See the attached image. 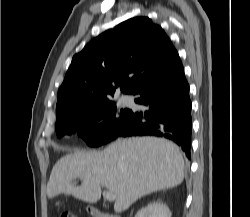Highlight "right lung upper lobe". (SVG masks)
Masks as SVG:
<instances>
[{
  "mask_svg": "<svg viewBox=\"0 0 250 217\" xmlns=\"http://www.w3.org/2000/svg\"><path fill=\"white\" fill-rule=\"evenodd\" d=\"M164 30L135 17L107 30L76 54L58 90L56 122L112 100L116 89L134 94L178 57Z\"/></svg>",
  "mask_w": 250,
  "mask_h": 217,
  "instance_id": "right-lung-upper-lobe-1",
  "label": "right lung upper lobe"
}]
</instances>
